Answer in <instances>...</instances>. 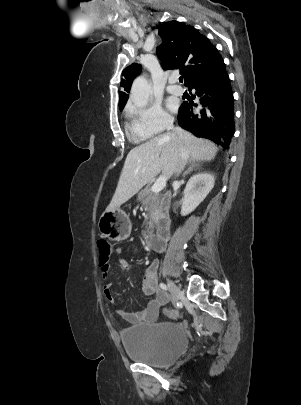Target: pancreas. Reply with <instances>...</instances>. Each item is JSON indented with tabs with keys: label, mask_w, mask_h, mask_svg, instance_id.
Returning a JSON list of instances; mask_svg holds the SVG:
<instances>
[{
	"label": "pancreas",
	"mask_w": 301,
	"mask_h": 405,
	"mask_svg": "<svg viewBox=\"0 0 301 405\" xmlns=\"http://www.w3.org/2000/svg\"><path fill=\"white\" fill-rule=\"evenodd\" d=\"M138 200L141 202L142 206L147 212L145 221L143 223L145 229L142 231V234L145 236L153 231L154 225L157 222L160 212L159 198L158 194L153 192L150 186L147 185L139 192Z\"/></svg>",
	"instance_id": "pancreas-1"
}]
</instances>
